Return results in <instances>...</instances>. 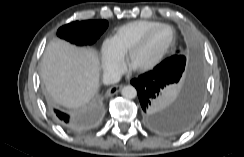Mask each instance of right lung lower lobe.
I'll use <instances>...</instances> for the list:
<instances>
[{
    "label": "right lung lower lobe",
    "mask_w": 244,
    "mask_h": 157,
    "mask_svg": "<svg viewBox=\"0 0 244 157\" xmlns=\"http://www.w3.org/2000/svg\"><path fill=\"white\" fill-rule=\"evenodd\" d=\"M58 122L66 129L71 131H80L83 128L82 122L76 118L71 117L68 114L62 113L58 110H54Z\"/></svg>",
    "instance_id": "right-lung-lower-lobe-1"
}]
</instances>
